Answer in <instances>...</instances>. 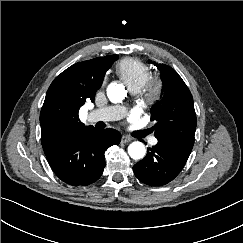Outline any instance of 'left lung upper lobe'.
<instances>
[{"mask_svg": "<svg viewBox=\"0 0 243 243\" xmlns=\"http://www.w3.org/2000/svg\"><path fill=\"white\" fill-rule=\"evenodd\" d=\"M164 82L162 95L151 109L158 142L190 154L194 145L196 115L192 95L178 73L168 65L158 66Z\"/></svg>", "mask_w": 243, "mask_h": 243, "instance_id": "5c2ea615", "label": "left lung upper lobe"}]
</instances>
